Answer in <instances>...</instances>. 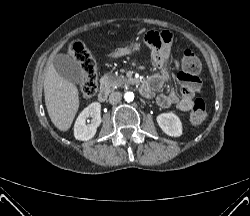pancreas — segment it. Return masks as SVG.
Here are the masks:
<instances>
[{"mask_svg":"<svg viewBox=\"0 0 250 216\" xmlns=\"http://www.w3.org/2000/svg\"><path fill=\"white\" fill-rule=\"evenodd\" d=\"M101 82L104 85V87L108 90H112L117 87L128 86L131 83L130 80L125 78L123 75L104 76L101 79Z\"/></svg>","mask_w":250,"mask_h":216,"instance_id":"1","label":"pancreas"}]
</instances>
